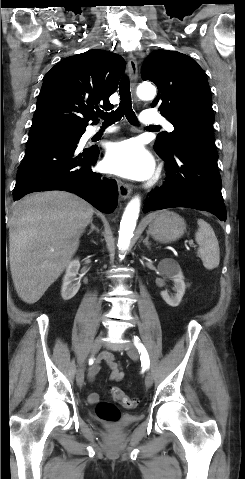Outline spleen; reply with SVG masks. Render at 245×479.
<instances>
[{
  "mask_svg": "<svg viewBox=\"0 0 245 479\" xmlns=\"http://www.w3.org/2000/svg\"><path fill=\"white\" fill-rule=\"evenodd\" d=\"M198 231L195 240L199 245L198 255L206 269L212 270L220 263V249L213 228L203 219H198Z\"/></svg>",
  "mask_w": 245,
  "mask_h": 479,
  "instance_id": "spleen-1",
  "label": "spleen"
}]
</instances>
